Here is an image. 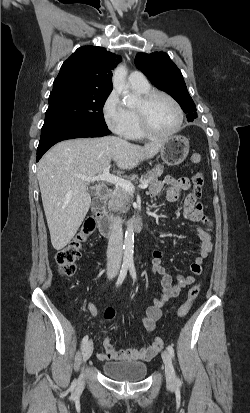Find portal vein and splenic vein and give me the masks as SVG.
Listing matches in <instances>:
<instances>
[{
  "label": "portal vein and splenic vein",
  "instance_id": "obj_1",
  "mask_svg": "<svg viewBox=\"0 0 250 413\" xmlns=\"http://www.w3.org/2000/svg\"><path fill=\"white\" fill-rule=\"evenodd\" d=\"M82 179L85 181L89 182H95V181H106L112 184H115L117 186H120L122 189L133 193L135 191V186L130 182L127 181L123 178H120L118 176L111 175L109 173V167L105 168L103 170L102 174L93 176V177H86V176H81ZM148 187V182L144 181L139 185L140 189H145Z\"/></svg>",
  "mask_w": 250,
  "mask_h": 413
}]
</instances>
